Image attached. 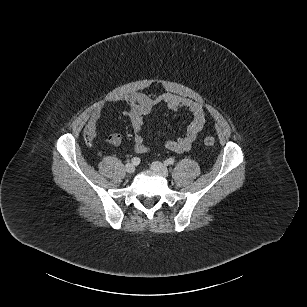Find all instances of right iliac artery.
<instances>
[{
    "label": "right iliac artery",
    "mask_w": 307,
    "mask_h": 307,
    "mask_svg": "<svg viewBox=\"0 0 307 307\" xmlns=\"http://www.w3.org/2000/svg\"><path fill=\"white\" fill-rule=\"evenodd\" d=\"M131 162L133 165H138L140 163V159L138 157H134L132 158Z\"/></svg>",
    "instance_id": "right-iliac-artery-1"
}]
</instances>
